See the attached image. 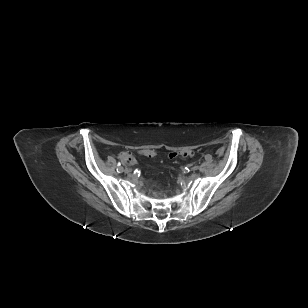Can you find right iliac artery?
<instances>
[{
    "instance_id": "1",
    "label": "right iliac artery",
    "mask_w": 308,
    "mask_h": 308,
    "mask_svg": "<svg viewBox=\"0 0 308 308\" xmlns=\"http://www.w3.org/2000/svg\"><path fill=\"white\" fill-rule=\"evenodd\" d=\"M117 172H118V173L123 172V167L121 166V163H120V162L117 163Z\"/></svg>"
}]
</instances>
